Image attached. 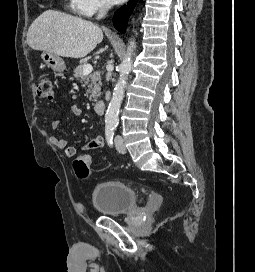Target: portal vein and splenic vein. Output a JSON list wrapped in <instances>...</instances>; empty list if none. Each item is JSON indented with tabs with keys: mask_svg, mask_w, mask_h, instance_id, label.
Wrapping results in <instances>:
<instances>
[{
	"mask_svg": "<svg viewBox=\"0 0 255 272\" xmlns=\"http://www.w3.org/2000/svg\"><path fill=\"white\" fill-rule=\"evenodd\" d=\"M92 70H93L92 65L87 64L83 69V74L88 75V74H90L92 72Z\"/></svg>",
	"mask_w": 255,
	"mask_h": 272,
	"instance_id": "obj_1",
	"label": "portal vein and splenic vein"
}]
</instances>
